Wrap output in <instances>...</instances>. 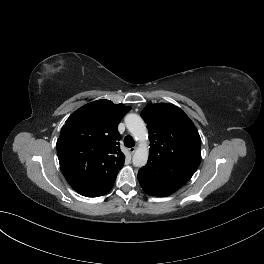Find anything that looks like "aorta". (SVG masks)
<instances>
[{
    "label": "aorta",
    "mask_w": 264,
    "mask_h": 264,
    "mask_svg": "<svg viewBox=\"0 0 264 264\" xmlns=\"http://www.w3.org/2000/svg\"><path fill=\"white\" fill-rule=\"evenodd\" d=\"M125 124L129 132L140 142L133 155V165L143 167L146 165L149 157V150L145 143L148 136L145 122L139 115L130 113L125 117Z\"/></svg>",
    "instance_id": "1"
}]
</instances>
